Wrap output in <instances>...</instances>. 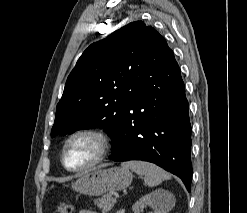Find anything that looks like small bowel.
<instances>
[{
	"label": "small bowel",
	"instance_id": "1",
	"mask_svg": "<svg viewBox=\"0 0 247 213\" xmlns=\"http://www.w3.org/2000/svg\"><path fill=\"white\" fill-rule=\"evenodd\" d=\"M79 213H96V212L90 210H81Z\"/></svg>",
	"mask_w": 247,
	"mask_h": 213
}]
</instances>
